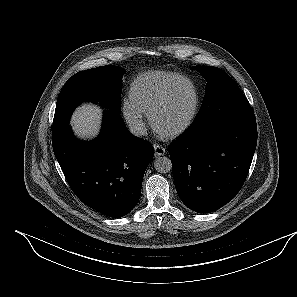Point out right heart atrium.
I'll list each match as a JSON object with an SVG mask.
<instances>
[{
	"mask_svg": "<svg viewBox=\"0 0 297 297\" xmlns=\"http://www.w3.org/2000/svg\"><path fill=\"white\" fill-rule=\"evenodd\" d=\"M121 111L125 121L135 134L142 135L146 132L147 123L145 114L129 98H125L122 101Z\"/></svg>",
	"mask_w": 297,
	"mask_h": 297,
	"instance_id": "d8ad5b80",
	"label": "right heart atrium"
}]
</instances>
